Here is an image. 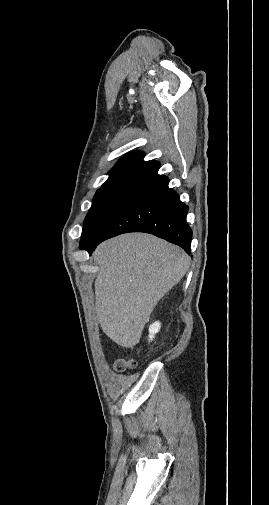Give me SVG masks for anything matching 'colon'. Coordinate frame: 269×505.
<instances>
[{"label": "colon", "instance_id": "colon-1", "mask_svg": "<svg viewBox=\"0 0 269 505\" xmlns=\"http://www.w3.org/2000/svg\"><path fill=\"white\" fill-rule=\"evenodd\" d=\"M135 366V361L126 359H118L114 364V368L117 372H124L127 369L134 368Z\"/></svg>", "mask_w": 269, "mask_h": 505}]
</instances>
